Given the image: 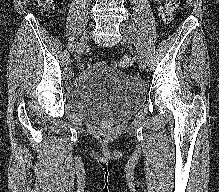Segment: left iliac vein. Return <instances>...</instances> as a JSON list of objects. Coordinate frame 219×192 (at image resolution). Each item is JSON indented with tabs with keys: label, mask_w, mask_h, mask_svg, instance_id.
I'll use <instances>...</instances> for the list:
<instances>
[{
	"label": "left iliac vein",
	"mask_w": 219,
	"mask_h": 192,
	"mask_svg": "<svg viewBox=\"0 0 219 192\" xmlns=\"http://www.w3.org/2000/svg\"><path fill=\"white\" fill-rule=\"evenodd\" d=\"M120 32H121V35H122V39L125 42H130L131 41L133 32H132V28L129 24L122 23L120 25ZM137 58H138L140 68L144 70L146 68V60H145L144 55L141 54V53H137Z\"/></svg>",
	"instance_id": "left-iliac-vein-1"
}]
</instances>
